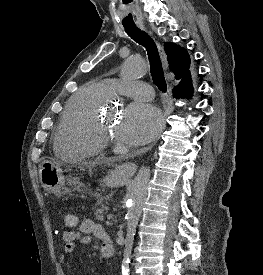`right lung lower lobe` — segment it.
I'll use <instances>...</instances> for the list:
<instances>
[{
    "mask_svg": "<svg viewBox=\"0 0 263 275\" xmlns=\"http://www.w3.org/2000/svg\"><path fill=\"white\" fill-rule=\"evenodd\" d=\"M190 84L192 86L191 75H190V72H189V75L187 76L185 82L181 85H177L176 87H174L173 97H175V98H182V97L187 98L188 96H192L191 94H193V91L189 93L188 89H187Z\"/></svg>",
    "mask_w": 263,
    "mask_h": 275,
    "instance_id": "obj_1",
    "label": "right lung lower lobe"
}]
</instances>
